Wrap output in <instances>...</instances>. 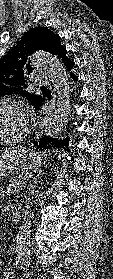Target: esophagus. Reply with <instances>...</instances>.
<instances>
[{
  "label": "esophagus",
  "instance_id": "esophagus-1",
  "mask_svg": "<svg viewBox=\"0 0 113 279\" xmlns=\"http://www.w3.org/2000/svg\"><path fill=\"white\" fill-rule=\"evenodd\" d=\"M55 102H56V95L54 90H52V99H51V103H50V107H51V111H53L55 109ZM44 123H45V119H43V121L40 123V131L39 134L37 135V137L39 138L42 134L43 128H44Z\"/></svg>",
  "mask_w": 113,
  "mask_h": 279
}]
</instances>
